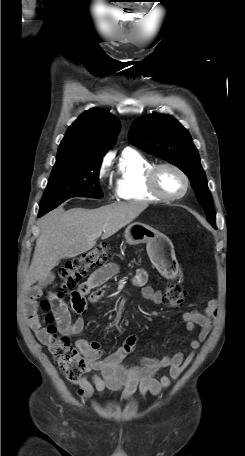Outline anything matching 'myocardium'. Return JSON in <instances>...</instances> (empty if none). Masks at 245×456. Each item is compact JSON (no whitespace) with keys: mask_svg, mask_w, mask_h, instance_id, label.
I'll list each match as a JSON object with an SVG mask.
<instances>
[{"mask_svg":"<svg viewBox=\"0 0 245 456\" xmlns=\"http://www.w3.org/2000/svg\"><path fill=\"white\" fill-rule=\"evenodd\" d=\"M162 168H170V169L176 171L181 176V178L183 179V182H184V188L180 194L168 195L160 190V188L158 187V184H157V175H158V172ZM146 186H147L148 191L160 200L177 201V200L182 199L187 194L189 186H190V182H189V178H188L187 174L179 166H177L173 163L164 162V163H159V164L153 165L147 171Z\"/></svg>","mask_w":245,"mask_h":456,"instance_id":"obj_1","label":"myocardium"}]
</instances>
